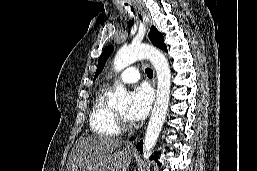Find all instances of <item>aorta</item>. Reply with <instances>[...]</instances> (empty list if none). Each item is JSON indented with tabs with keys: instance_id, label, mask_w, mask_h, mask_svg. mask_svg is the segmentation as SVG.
Here are the masks:
<instances>
[{
	"instance_id": "762f6f07",
	"label": "aorta",
	"mask_w": 257,
	"mask_h": 171,
	"mask_svg": "<svg viewBox=\"0 0 257 171\" xmlns=\"http://www.w3.org/2000/svg\"><path fill=\"white\" fill-rule=\"evenodd\" d=\"M140 59L150 60L155 68L158 79L156 101L144 138V153L148 156L156 144L166 118L170 99L171 71L168 60L163 53L147 44H132L122 47L115 56L114 68L116 71H121ZM110 102L114 106H122L130 103V97L122 85H118L115 88Z\"/></svg>"
}]
</instances>
